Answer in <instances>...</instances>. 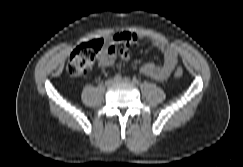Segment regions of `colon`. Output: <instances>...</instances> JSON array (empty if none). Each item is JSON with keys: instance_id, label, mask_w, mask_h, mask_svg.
Here are the masks:
<instances>
[{"instance_id": "5ec220e1", "label": "colon", "mask_w": 243, "mask_h": 167, "mask_svg": "<svg viewBox=\"0 0 243 167\" xmlns=\"http://www.w3.org/2000/svg\"><path fill=\"white\" fill-rule=\"evenodd\" d=\"M103 48L104 41L102 39H94L79 45L69 58L67 72L72 76L85 75ZM182 75L183 70L178 68L175 71V77L180 78Z\"/></svg>"}]
</instances>
